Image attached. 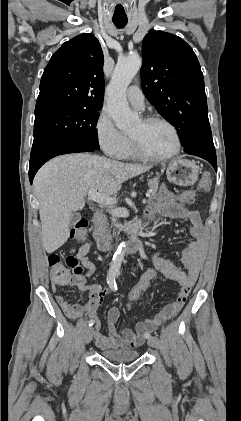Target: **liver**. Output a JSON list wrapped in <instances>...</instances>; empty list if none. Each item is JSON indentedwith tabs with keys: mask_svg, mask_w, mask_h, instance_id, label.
Wrapping results in <instances>:
<instances>
[{
	"mask_svg": "<svg viewBox=\"0 0 241 421\" xmlns=\"http://www.w3.org/2000/svg\"><path fill=\"white\" fill-rule=\"evenodd\" d=\"M150 168L88 153L59 156L43 165L33 188L46 252L53 253L67 241L73 212L84 207V197L91 188L107 196L117 194L123 182Z\"/></svg>",
	"mask_w": 241,
	"mask_h": 421,
	"instance_id": "6515ba94",
	"label": "liver"
}]
</instances>
